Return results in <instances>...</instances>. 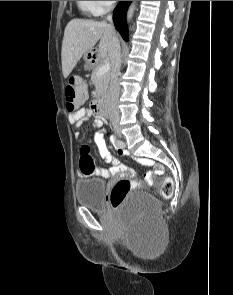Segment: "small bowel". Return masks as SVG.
<instances>
[{
	"label": "small bowel",
	"mask_w": 233,
	"mask_h": 295,
	"mask_svg": "<svg viewBox=\"0 0 233 295\" xmlns=\"http://www.w3.org/2000/svg\"><path fill=\"white\" fill-rule=\"evenodd\" d=\"M93 111L92 110H86L84 108H80L77 110L71 117L70 122L73 124L75 128H79L83 122L90 120L93 117ZM102 120L100 118L93 119V125L95 127H101L102 126ZM95 143L97 146V149L99 151L100 156L104 160V162L110 167L108 169H102V168H95L93 174L103 177V178H113L119 173H124L129 171V168L122 163L117 157H115L111 152L109 151L106 141L104 139V132L99 133L95 138ZM119 154H125L126 151L123 148L117 147ZM139 163L151 167L155 173H161L163 168L161 164L154 163L150 159L142 158L138 160Z\"/></svg>",
	"instance_id": "obj_1"
}]
</instances>
